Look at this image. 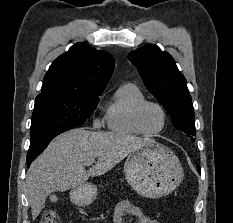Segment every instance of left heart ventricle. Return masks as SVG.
<instances>
[{"label": "left heart ventricle", "mask_w": 233, "mask_h": 223, "mask_svg": "<svg viewBox=\"0 0 233 223\" xmlns=\"http://www.w3.org/2000/svg\"><path fill=\"white\" fill-rule=\"evenodd\" d=\"M164 116L161 110L154 106H147L142 114V124L149 133H157L164 127Z\"/></svg>", "instance_id": "1"}]
</instances>
